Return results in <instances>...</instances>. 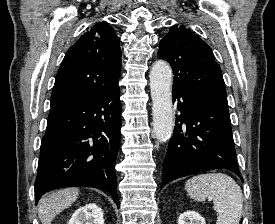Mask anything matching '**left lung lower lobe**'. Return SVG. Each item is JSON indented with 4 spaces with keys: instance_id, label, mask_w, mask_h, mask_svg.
Segmentation results:
<instances>
[{
    "instance_id": "0a47b994",
    "label": "left lung lower lobe",
    "mask_w": 275,
    "mask_h": 224,
    "mask_svg": "<svg viewBox=\"0 0 275 224\" xmlns=\"http://www.w3.org/2000/svg\"><path fill=\"white\" fill-rule=\"evenodd\" d=\"M174 102L180 115L163 162L161 188L174 179L219 168L235 172L243 182L228 107L178 89H173Z\"/></svg>"
}]
</instances>
